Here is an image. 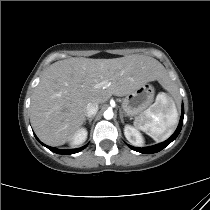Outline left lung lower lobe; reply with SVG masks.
<instances>
[{
  "label": "left lung lower lobe",
  "mask_w": 210,
  "mask_h": 210,
  "mask_svg": "<svg viewBox=\"0 0 210 210\" xmlns=\"http://www.w3.org/2000/svg\"><path fill=\"white\" fill-rule=\"evenodd\" d=\"M183 116H184V107L182 105V115H181V119L178 125L177 130L175 131V133L165 142L157 144L155 146H151V147H146V148H137V147H133L128 145L132 150H135L137 152H141V153H156L158 151H161L162 149H164L168 144H170L173 140L176 139V137L178 136V134L181 131L182 128V124H183Z\"/></svg>",
  "instance_id": "left-lung-lower-lobe-1"
}]
</instances>
